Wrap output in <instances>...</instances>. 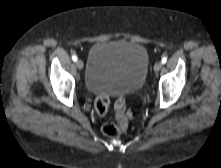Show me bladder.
<instances>
[{
    "label": "bladder",
    "mask_w": 221,
    "mask_h": 168,
    "mask_svg": "<svg viewBox=\"0 0 221 168\" xmlns=\"http://www.w3.org/2000/svg\"><path fill=\"white\" fill-rule=\"evenodd\" d=\"M148 66V52L140 44L99 42L89 51L85 84L93 93L127 95L142 88Z\"/></svg>",
    "instance_id": "1"
}]
</instances>
